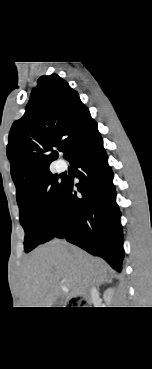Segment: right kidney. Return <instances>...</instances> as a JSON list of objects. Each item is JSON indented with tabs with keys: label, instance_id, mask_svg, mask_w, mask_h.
Returning <instances> with one entry per match:
<instances>
[{
	"label": "right kidney",
	"instance_id": "obj_1",
	"mask_svg": "<svg viewBox=\"0 0 152 369\" xmlns=\"http://www.w3.org/2000/svg\"><path fill=\"white\" fill-rule=\"evenodd\" d=\"M114 295V290L112 288H108L103 295V298L106 302H110L111 299L113 298Z\"/></svg>",
	"mask_w": 152,
	"mask_h": 369
}]
</instances>
